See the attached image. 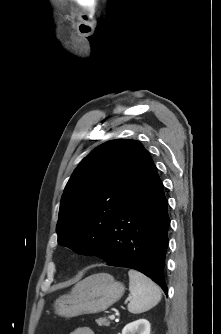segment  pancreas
Here are the masks:
<instances>
[{
    "instance_id": "obj_1",
    "label": "pancreas",
    "mask_w": 221,
    "mask_h": 334,
    "mask_svg": "<svg viewBox=\"0 0 221 334\" xmlns=\"http://www.w3.org/2000/svg\"><path fill=\"white\" fill-rule=\"evenodd\" d=\"M96 323L99 326H110V321H108L106 317H101V318L96 319Z\"/></svg>"
}]
</instances>
